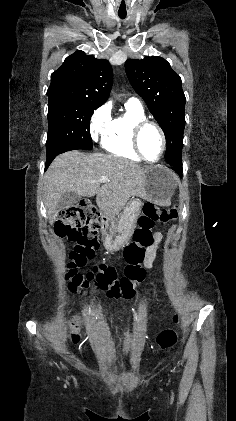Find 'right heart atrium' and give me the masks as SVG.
<instances>
[{
	"instance_id": "right-heart-atrium-1",
	"label": "right heart atrium",
	"mask_w": 236,
	"mask_h": 421,
	"mask_svg": "<svg viewBox=\"0 0 236 421\" xmlns=\"http://www.w3.org/2000/svg\"><path fill=\"white\" fill-rule=\"evenodd\" d=\"M110 121V109L107 106L98 108L90 119V135L93 141H97L103 130Z\"/></svg>"
}]
</instances>
